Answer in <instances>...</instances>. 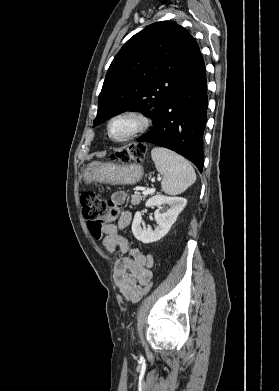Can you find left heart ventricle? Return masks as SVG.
Segmentation results:
<instances>
[{"label":"left heart ventricle","mask_w":279,"mask_h":391,"mask_svg":"<svg viewBox=\"0 0 279 391\" xmlns=\"http://www.w3.org/2000/svg\"><path fill=\"white\" fill-rule=\"evenodd\" d=\"M133 126V121L130 119H121L112 125V134L116 137L124 136Z\"/></svg>","instance_id":"b2bd125f"}]
</instances>
